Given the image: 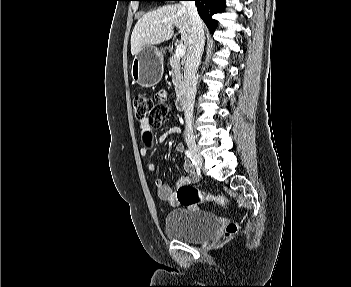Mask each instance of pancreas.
Instances as JSON below:
<instances>
[{"label":"pancreas","instance_id":"cf45deb5","mask_svg":"<svg viewBox=\"0 0 351 287\" xmlns=\"http://www.w3.org/2000/svg\"><path fill=\"white\" fill-rule=\"evenodd\" d=\"M169 64L171 66V76L172 82L175 86L176 94H180L184 89V80L182 74V62L175 55L171 56L169 59Z\"/></svg>","mask_w":351,"mask_h":287}]
</instances>
